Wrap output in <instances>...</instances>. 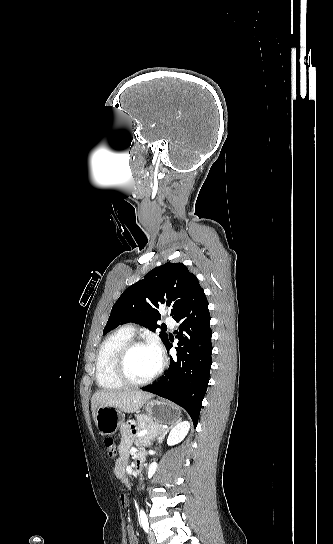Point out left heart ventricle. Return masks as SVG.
<instances>
[{
    "mask_svg": "<svg viewBox=\"0 0 333 544\" xmlns=\"http://www.w3.org/2000/svg\"><path fill=\"white\" fill-rule=\"evenodd\" d=\"M160 363V356L152 346L135 347L127 360L129 376L137 381L151 376Z\"/></svg>",
    "mask_w": 333,
    "mask_h": 544,
    "instance_id": "b2bd125f",
    "label": "left heart ventricle"
}]
</instances>
